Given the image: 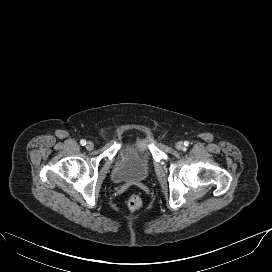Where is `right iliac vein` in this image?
<instances>
[{"mask_svg": "<svg viewBox=\"0 0 272 272\" xmlns=\"http://www.w3.org/2000/svg\"><path fill=\"white\" fill-rule=\"evenodd\" d=\"M86 149L87 150H92L93 149V147H94V144L91 142V141H88L87 143H86Z\"/></svg>", "mask_w": 272, "mask_h": 272, "instance_id": "right-iliac-vein-1", "label": "right iliac vein"}]
</instances>
